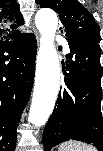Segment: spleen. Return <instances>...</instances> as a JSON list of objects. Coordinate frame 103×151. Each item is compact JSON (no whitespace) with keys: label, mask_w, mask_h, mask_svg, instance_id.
Here are the masks:
<instances>
[{"label":"spleen","mask_w":103,"mask_h":151,"mask_svg":"<svg viewBox=\"0 0 103 151\" xmlns=\"http://www.w3.org/2000/svg\"><path fill=\"white\" fill-rule=\"evenodd\" d=\"M58 151H96V149L88 144L71 140L61 144Z\"/></svg>","instance_id":"3e777b00"}]
</instances>
